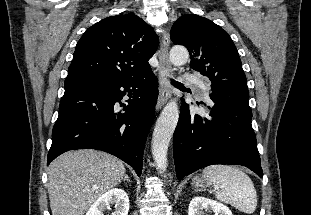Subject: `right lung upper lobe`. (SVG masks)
Here are the masks:
<instances>
[{"label": "right lung upper lobe", "mask_w": 311, "mask_h": 215, "mask_svg": "<svg viewBox=\"0 0 311 215\" xmlns=\"http://www.w3.org/2000/svg\"><path fill=\"white\" fill-rule=\"evenodd\" d=\"M157 45L158 36L137 15L107 17L89 27L78 41L65 84L149 75L152 70L148 60Z\"/></svg>", "instance_id": "1"}]
</instances>
